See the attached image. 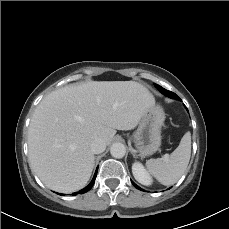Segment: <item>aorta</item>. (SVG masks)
Returning a JSON list of instances; mask_svg holds the SVG:
<instances>
[{"label":"aorta","instance_id":"obj_1","mask_svg":"<svg viewBox=\"0 0 229 229\" xmlns=\"http://www.w3.org/2000/svg\"><path fill=\"white\" fill-rule=\"evenodd\" d=\"M110 153L112 155V157L114 158H123L125 156L126 153V147L124 144L122 143H114L112 144L111 148H110Z\"/></svg>","mask_w":229,"mask_h":229}]
</instances>
